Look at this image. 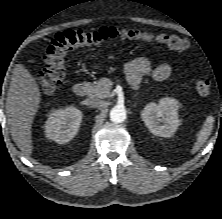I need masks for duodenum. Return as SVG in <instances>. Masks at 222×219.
Returning a JSON list of instances; mask_svg holds the SVG:
<instances>
[{
    "label": "duodenum",
    "mask_w": 222,
    "mask_h": 219,
    "mask_svg": "<svg viewBox=\"0 0 222 219\" xmlns=\"http://www.w3.org/2000/svg\"><path fill=\"white\" fill-rule=\"evenodd\" d=\"M73 91L75 95L84 97L89 93V87L85 83H77L74 85Z\"/></svg>",
    "instance_id": "obj_1"
}]
</instances>
